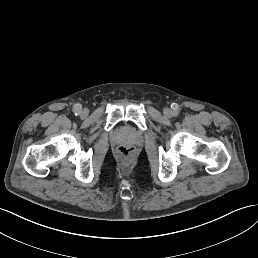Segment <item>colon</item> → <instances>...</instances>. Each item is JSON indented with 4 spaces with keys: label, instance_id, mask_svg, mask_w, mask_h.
<instances>
[{
    "label": "colon",
    "instance_id": "obj_1",
    "mask_svg": "<svg viewBox=\"0 0 258 258\" xmlns=\"http://www.w3.org/2000/svg\"><path fill=\"white\" fill-rule=\"evenodd\" d=\"M117 153L121 159L129 160L134 156L135 150L131 147L122 146L117 149Z\"/></svg>",
    "mask_w": 258,
    "mask_h": 258
}]
</instances>
